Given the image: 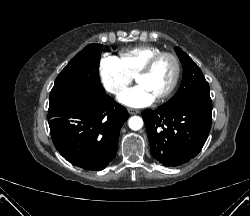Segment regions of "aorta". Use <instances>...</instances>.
Segmentation results:
<instances>
[{
  "label": "aorta",
  "mask_w": 250,
  "mask_h": 216,
  "mask_svg": "<svg viewBox=\"0 0 250 216\" xmlns=\"http://www.w3.org/2000/svg\"><path fill=\"white\" fill-rule=\"evenodd\" d=\"M128 126L130 129H132L134 131L140 130L143 126V120L139 116H132L128 120Z\"/></svg>",
  "instance_id": "1"
}]
</instances>
